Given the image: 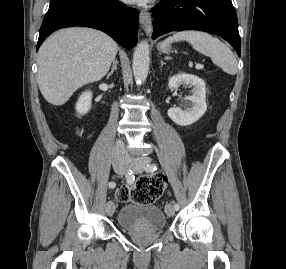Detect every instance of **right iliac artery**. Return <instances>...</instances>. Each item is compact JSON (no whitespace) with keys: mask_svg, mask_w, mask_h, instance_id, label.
<instances>
[{"mask_svg":"<svg viewBox=\"0 0 286 269\" xmlns=\"http://www.w3.org/2000/svg\"><path fill=\"white\" fill-rule=\"evenodd\" d=\"M125 177H126V180H127L128 184H132L133 181L135 180L134 174H133L132 170H130V169L127 171ZM115 186H116V184L114 182H110L109 183V187L110 188H114Z\"/></svg>","mask_w":286,"mask_h":269,"instance_id":"right-iliac-artery-1","label":"right iliac artery"}]
</instances>
